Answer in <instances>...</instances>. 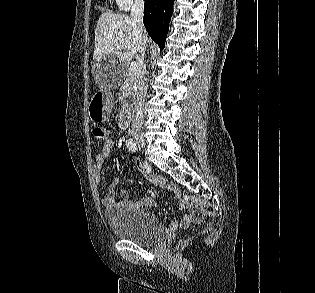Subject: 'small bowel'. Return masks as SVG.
Here are the masks:
<instances>
[{
	"mask_svg": "<svg viewBox=\"0 0 315 293\" xmlns=\"http://www.w3.org/2000/svg\"><path fill=\"white\" fill-rule=\"evenodd\" d=\"M115 143V140L108 137L103 140L102 148L100 152L96 155L94 165H93V178L94 183L97 187H100L103 183L102 181V165L104 163V160L108 157L111 149L113 148ZM137 165L139 169L145 173V169L141 162H137ZM120 182V179L117 177L115 178L110 185L107 187L104 197L101 200V203L104 207H112L119 203L124 204H130L134 208H137L138 210L142 212H147L149 208L153 207L155 202L154 200L149 196L141 197L140 199L136 201H130L128 199L127 192L125 190H122L120 192V195L124 197V199L119 202L116 200V189ZM154 182L159 185L160 187L171 191L175 198L178 200V208L182 211H187V213L184 215L181 226L182 227H188L192 224H195L200 221V214L197 209L193 207L191 203L188 201L182 200L181 198V191L180 189L173 184L172 182L168 181L167 179L163 177H156L154 179ZM172 228H177L176 224L171 225Z\"/></svg>",
	"mask_w": 315,
	"mask_h": 293,
	"instance_id": "c3829d8e",
	"label": "small bowel"
}]
</instances>
